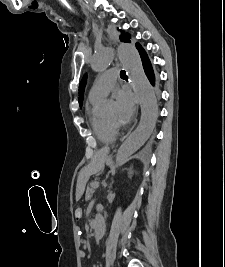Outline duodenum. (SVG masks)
Here are the masks:
<instances>
[{"label": "duodenum", "mask_w": 225, "mask_h": 267, "mask_svg": "<svg viewBox=\"0 0 225 267\" xmlns=\"http://www.w3.org/2000/svg\"><path fill=\"white\" fill-rule=\"evenodd\" d=\"M101 225H102V221L100 219H93L91 221V227L93 229H98V228H100Z\"/></svg>", "instance_id": "obj_1"}]
</instances>
